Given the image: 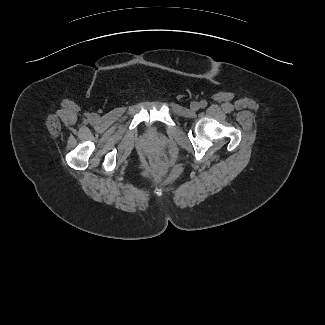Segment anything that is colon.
Returning a JSON list of instances; mask_svg holds the SVG:
<instances>
[{
	"instance_id": "colon-1",
	"label": "colon",
	"mask_w": 325,
	"mask_h": 325,
	"mask_svg": "<svg viewBox=\"0 0 325 325\" xmlns=\"http://www.w3.org/2000/svg\"><path fill=\"white\" fill-rule=\"evenodd\" d=\"M154 165L159 172H163L166 168V158L165 156L158 154L153 159Z\"/></svg>"
}]
</instances>
